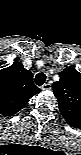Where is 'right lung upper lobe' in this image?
<instances>
[{
  "label": "right lung upper lobe",
  "mask_w": 81,
  "mask_h": 155,
  "mask_svg": "<svg viewBox=\"0 0 81 155\" xmlns=\"http://www.w3.org/2000/svg\"><path fill=\"white\" fill-rule=\"evenodd\" d=\"M40 89L33 83L31 71L20 62L0 71V113L12 116L20 111Z\"/></svg>",
  "instance_id": "obj_1"
}]
</instances>
